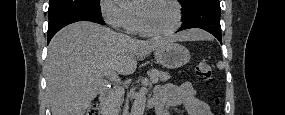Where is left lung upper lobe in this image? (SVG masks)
Wrapping results in <instances>:
<instances>
[{"instance_id": "1", "label": "left lung upper lobe", "mask_w": 285, "mask_h": 115, "mask_svg": "<svg viewBox=\"0 0 285 115\" xmlns=\"http://www.w3.org/2000/svg\"><path fill=\"white\" fill-rule=\"evenodd\" d=\"M200 0H179L182 6V13H184L191 5L198 2Z\"/></svg>"}]
</instances>
